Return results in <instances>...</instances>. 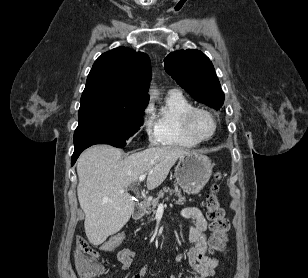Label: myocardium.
I'll return each mask as SVG.
<instances>
[{
  "label": "myocardium",
  "mask_w": 308,
  "mask_h": 278,
  "mask_svg": "<svg viewBox=\"0 0 308 278\" xmlns=\"http://www.w3.org/2000/svg\"><path fill=\"white\" fill-rule=\"evenodd\" d=\"M197 112H203V113L207 114L213 122V130H212L211 134L207 137H200V136L196 135L194 133L192 127H191V118ZM181 126H182L183 131L185 132V134L189 138L196 141L197 143H201V142H205V141H208L211 138H213V136L215 135V133L217 131L218 123H217L215 115L210 110H208L204 107H194V106H192L191 108L184 111L183 114L181 115Z\"/></svg>",
  "instance_id": "obj_1"
}]
</instances>
